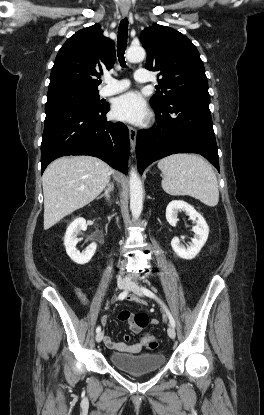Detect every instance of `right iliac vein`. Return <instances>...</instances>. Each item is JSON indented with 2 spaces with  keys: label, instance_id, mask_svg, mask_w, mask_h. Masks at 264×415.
Instances as JSON below:
<instances>
[{
  "label": "right iliac vein",
  "instance_id": "right-iliac-vein-1",
  "mask_svg": "<svg viewBox=\"0 0 264 415\" xmlns=\"http://www.w3.org/2000/svg\"><path fill=\"white\" fill-rule=\"evenodd\" d=\"M117 285H118V288L119 289H126L129 286V282L127 280H125V279H122V280H119L118 281ZM103 336H104V333L103 332L97 333V335H96V341L98 343L101 342L102 339H103Z\"/></svg>",
  "mask_w": 264,
  "mask_h": 415
}]
</instances>
